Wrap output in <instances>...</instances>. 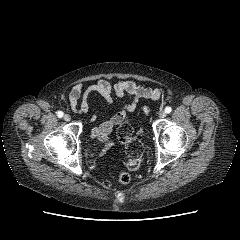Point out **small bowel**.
Instances as JSON below:
<instances>
[{
  "label": "small bowel",
  "instance_id": "1",
  "mask_svg": "<svg viewBox=\"0 0 240 240\" xmlns=\"http://www.w3.org/2000/svg\"><path fill=\"white\" fill-rule=\"evenodd\" d=\"M93 93L101 95L107 103H113L116 99L127 98L129 100L123 105L121 111L93 127L91 138L99 141L106 140L113 127L124 121L126 112L133 111L136 108L140 98L158 99L161 95L158 89L143 87L130 80H120L112 84L106 79H99L86 88L82 84H77L71 89L68 95L71 108L80 114L87 113L89 110L88 100ZM93 119H95V116H93Z\"/></svg>",
  "mask_w": 240,
  "mask_h": 240
}]
</instances>
